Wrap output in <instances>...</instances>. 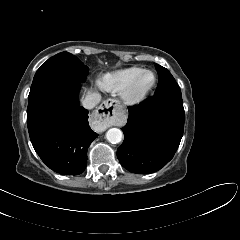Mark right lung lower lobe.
<instances>
[{"mask_svg": "<svg viewBox=\"0 0 240 240\" xmlns=\"http://www.w3.org/2000/svg\"><path fill=\"white\" fill-rule=\"evenodd\" d=\"M79 82L46 85L28 98L27 126L41 160L63 175L81 174L87 149L98 136L88 123V111L79 105Z\"/></svg>", "mask_w": 240, "mask_h": 240, "instance_id": "98d812e1", "label": "right lung lower lobe"}]
</instances>
